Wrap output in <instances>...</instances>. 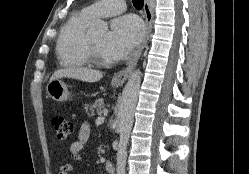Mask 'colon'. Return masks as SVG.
Instances as JSON below:
<instances>
[{"label":"colon","instance_id":"1","mask_svg":"<svg viewBox=\"0 0 249 174\" xmlns=\"http://www.w3.org/2000/svg\"><path fill=\"white\" fill-rule=\"evenodd\" d=\"M51 125L60 140H67L74 130L71 121L61 115L53 116Z\"/></svg>","mask_w":249,"mask_h":174}]
</instances>
